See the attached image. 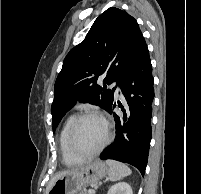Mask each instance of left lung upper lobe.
<instances>
[{"mask_svg": "<svg viewBox=\"0 0 201 194\" xmlns=\"http://www.w3.org/2000/svg\"><path fill=\"white\" fill-rule=\"evenodd\" d=\"M144 41L137 21L126 11L110 7L93 23L85 39L66 56L54 88L51 106L53 131L77 101L98 105L107 111L114 90ZM104 76L103 87L96 81Z\"/></svg>", "mask_w": 201, "mask_h": 194, "instance_id": "1", "label": "left lung upper lobe"}]
</instances>
